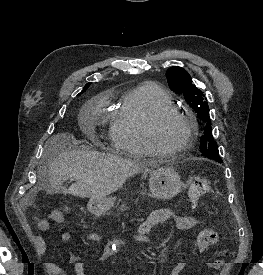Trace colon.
Segmentation results:
<instances>
[{
    "instance_id": "5ec220e1",
    "label": "colon",
    "mask_w": 263,
    "mask_h": 275,
    "mask_svg": "<svg viewBox=\"0 0 263 275\" xmlns=\"http://www.w3.org/2000/svg\"><path fill=\"white\" fill-rule=\"evenodd\" d=\"M213 185L210 180L206 178H195L188 192V200L192 208H196L202 197L213 193ZM50 219L54 222L61 223L64 220V214L60 211H54L50 215ZM217 235L212 230H203L199 233L196 245L200 250H206L216 243ZM224 261L221 259L214 260L209 263L212 269H219L223 266Z\"/></svg>"
}]
</instances>
